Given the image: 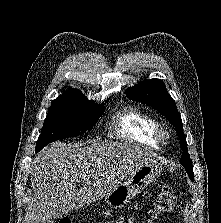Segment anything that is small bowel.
I'll return each mask as SVG.
<instances>
[{
	"label": "small bowel",
	"mask_w": 221,
	"mask_h": 223,
	"mask_svg": "<svg viewBox=\"0 0 221 223\" xmlns=\"http://www.w3.org/2000/svg\"><path fill=\"white\" fill-rule=\"evenodd\" d=\"M117 223H132V221L130 219L121 218Z\"/></svg>",
	"instance_id": "1"
}]
</instances>
